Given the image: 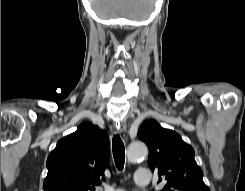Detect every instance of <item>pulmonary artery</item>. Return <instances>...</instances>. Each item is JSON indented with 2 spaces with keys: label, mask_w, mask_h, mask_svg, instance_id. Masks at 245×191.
<instances>
[{
  "label": "pulmonary artery",
  "mask_w": 245,
  "mask_h": 191,
  "mask_svg": "<svg viewBox=\"0 0 245 191\" xmlns=\"http://www.w3.org/2000/svg\"><path fill=\"white\" fill-rule=\"evenodd\" d=\"M151 181V174L147 168H138L134 175V182L138 187H146ZM105 191H125L123 189H115L113 187L105 188Z\"/></svg>",
  "instance_id": "e3ab8cb5"
}]
</instances>
